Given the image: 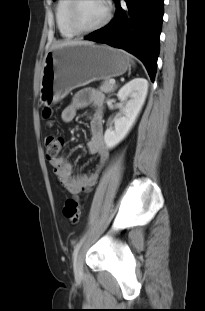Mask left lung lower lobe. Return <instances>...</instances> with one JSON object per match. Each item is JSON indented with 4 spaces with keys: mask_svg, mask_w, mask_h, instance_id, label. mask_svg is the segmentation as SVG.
Instances as JSON below:
<instances>
[{
    "mask_svg": "<svg viewBox=\"0 0 205 311\" xmlns=\"http://www.w3.org/2000/svg\"><path fill=\"white\" fill-rule=\"evenodd\" d=\"M115 1V17L85 39L121 48L135 55L143 62L154 81L164 0H125V9L120 6L119 0Z\"/></svg>",
    "mask_w": 205,
    "mask_h": 311,
    "instance_id": "1",
    "label": "left lung lower lobe"
}]
</instances>
